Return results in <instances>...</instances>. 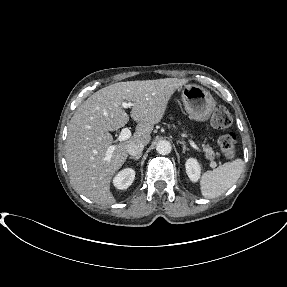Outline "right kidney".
<instances>
[{"label":"right kidney","mask_w":287,"mask_h":287,"mask_svg":"<svg viewBox=\"0 0 287 287\" xmlns=\"http://www.w3.org/2000/svg\"><path fill=\"white\" fill-rule=\"evenodd\" d=\"M135 171L131 168H126L120 171L113 179V184L117 189H127L134 181Z\"/></svg>","instance_id":"obj_1"}]
</instances>
